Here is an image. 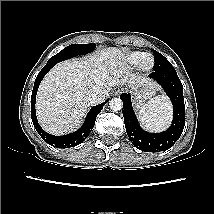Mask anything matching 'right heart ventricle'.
Returning <instances> with one entry per match:
<instances>
[{
    "instance_id": "obj_1",
    "label": "right heart ventricle",
    "mask_w": 214,
    "mask_h": 214,
    "mask_svg": "<svg viewBox=\"0 0 214 214\" xmlns=\"http://www.w3.org/2000/svg\"><path fill=\"white\" fill-rule=\"evenodd\" d=\"M144 55L145 53L139 51L131 52L125 56L124 62L130 67L136 66L140 63Z\"/></svg>"
}]
</instances>
